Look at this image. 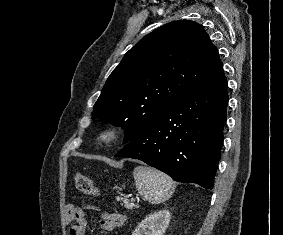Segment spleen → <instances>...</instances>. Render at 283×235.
<instances>
[{
    "instance_id": "obj_1",
    "label": "spleen",
    "mask_w": 283,
    "mask_h": 235,
    "mask_svg": "<svg viewBox=\"0 0 283 235\" xmlns=\"http://www.w3.org/2000/svg\"><path fill=\"white\" fill-rule=\"evenodd\" d=\"M133 177L139 194L155 205L169 200L176 187L168 175L146 166L135 167Z\"/></svg>"
}]
</instances>
